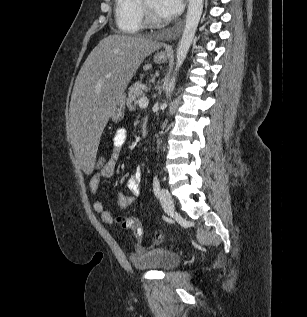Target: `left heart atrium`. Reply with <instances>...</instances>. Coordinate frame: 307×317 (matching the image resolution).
Instances as JSON below:
<instances>
[{
  "instance_id": "obj_1",
  "label": "left heart atrium",
  "mask_w": 307,
  "mask_h": 317,
  "mask_svg": "<svg viewBox=\"0 0 307 317\" xmlns=\"http://www.w3.org/2000/svg\"><path fill=\"white\" fill-rule=\"evenodd\" d=\"M183 9V0H156V11L163 17L178 15Z\"/></svg>"
}]
</instances>
